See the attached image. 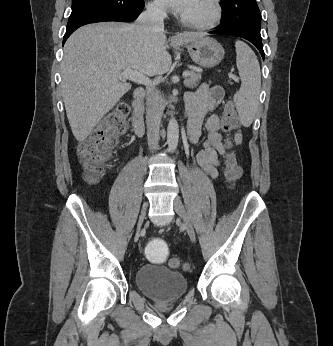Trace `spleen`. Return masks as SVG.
<instances>
[{
  "label": "spleen",
  "instance_id": "obj_1",
  "mask_svg": "<svg viewBox=\"0 0 333 346\" xmlns=\"http://www.w3.org/2000/svg\"><path fill=\"white\" fill-rule=\"evenodd\" d=\"M236 65L241 87L234 96V103L244 126H250L259 104L261 72L259 62L252 49L242 41L235 42Z\"/></svg>",
  "mask_w": 333,
  "mask_h": 346
}]
</instances>
